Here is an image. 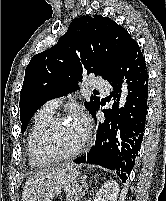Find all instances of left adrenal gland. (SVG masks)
Returning <instances> with one entry per match:
<instances>
[{
    "label": "left adrenal gland",
    "mask_w": 166,
    "mask_h": 201,
    "mask_svg": "<svg viewBox=\"0 0 166 201\" xmlns=\"http://www.w3.org/2000/svg\"><path fill=\"white\" fill-rule=\"evenodd\" d=\"M85 181H86V176H84V177H83V178H81V180H80V182H81V184H82V186H81V188H80V191H82V190H83V188H85V187H86V183H85ZM84 193H85V190H83V191H82L81 196H83V195H84Z\"/></svg>",
    "instance_id": "left-adrenal-gland-1"
}]
</instances>
